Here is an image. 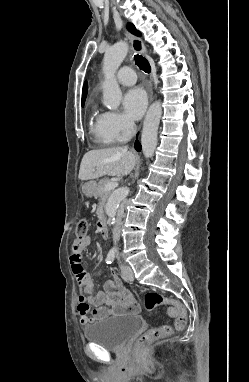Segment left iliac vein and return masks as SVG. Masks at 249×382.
Wrapping results in <instances>:
<instances>
[{
	"label": "left iliac vein",
	"instance_id": "obj_1",
	"mask_svg": "<svg viewBox=\"0 0 249 382\" xmlns=\"http://www.w3.org/2000/svg\"><path fill=\"white\" fill-rule=\"evenodd\" d=\"M121 271L122 275L125 280L127 281H133V271L130 266L128 265H121Z\"/></svg>",
	"mask_w": 249,
	"mask_h": 382
}]
</instances>
